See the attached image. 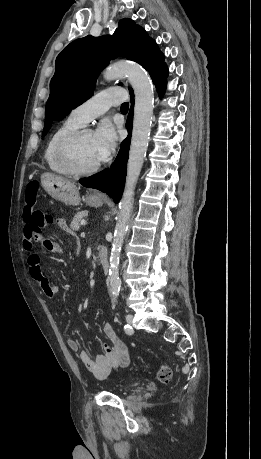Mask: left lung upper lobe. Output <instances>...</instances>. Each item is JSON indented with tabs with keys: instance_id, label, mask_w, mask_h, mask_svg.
Masks as SVG:
<instances>
[{
	"instance_id": "5c2ea615",
	"label": "left lung upper lobe",
	"mask_w": 261,
	"mask_h": 459,
	"mask_svg": "<svg viewBox=\"0 0 261 459\" xmlns=\"http://www.w3.org/2000/svg\"><path fill=\"white\" fill-rule=\"evenodd\" d=\"M117 56L139 63L151 78L166 66L156 42L128 18L119 22L113 36L73 41L56 58L42 137L54 120L64 118L93 95L99 73Z\"/></svg>"
}]
</instances>
